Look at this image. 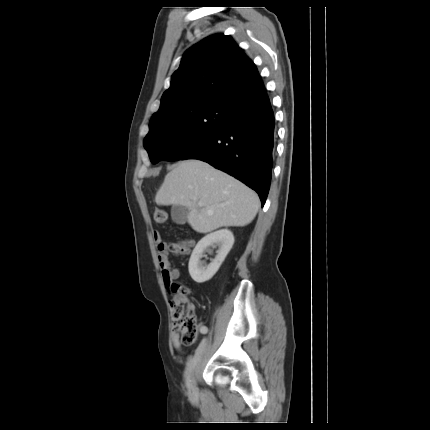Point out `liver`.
I'll return each mask as SVG.
<instances>
[{
	"label": "liver",
	"instance_id": "1",
	"mask_svg": "<svg viewBox=\"0 0 430 430\" xmlns=\"http://www.w3.org/2000/svg\"><path fill=\"white\" fill-rule=\"evenodd\" d=\"M198 201L203 205L199 206ZM155 202L163 206L188 207V223L199 233L220 227L245 226L255 218L260 205L254 191L198 159L180 161L167 173Z\"/></svg>",
	"mask_w": 430,
	"mask_h": 430
}]
</instances>
